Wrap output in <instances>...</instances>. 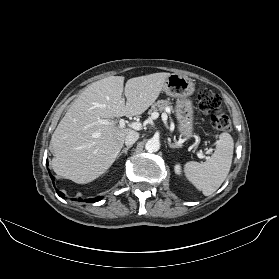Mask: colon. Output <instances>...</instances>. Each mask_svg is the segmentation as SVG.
I'll list each match as a JSON object with an SVG mask.
<instances>
[{
    "label": "colon",
    "instance_id": "colon-1",
    "mask_svg": "<svg viewBox=\"0 0 279 279\" xmlns=\"http://www.w3.org/2000/svg\"><path fill=\"white\" fill-rule=\"evenodd\" d=\"M199 110L210 116L213 126L219 131H229L231 120L229 115L221 110V99L210 89H202L198 94Z\"/></svg>",
    "mask_w": 279,
    "mask_h": 279
}]
</instances>
